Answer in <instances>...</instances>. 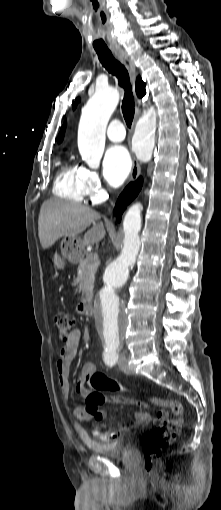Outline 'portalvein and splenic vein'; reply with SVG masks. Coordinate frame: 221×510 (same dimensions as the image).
Wrapping results in <instances>:
<instances>
[{"label":"portal vein and splenic vein","mask_w":221,"mask_h":510,"mask_svg":"<svg viewBox=\"0 0 221 510\" xmlns=\"http://www.w3.org/2000/svg\"><path fill=\"white\" fill-rule=\"evenodd\" d=\"M91 258H92L93 260H95V261H98V255H97V253L92 254V255H91Z\"/></svg>","instance_id":"1"}]
</instances>
